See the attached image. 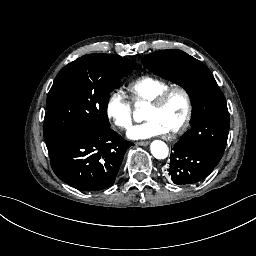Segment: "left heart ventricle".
<instances>
[{
    "label": "left heart ventricle",
    "instance_id": "obj_1",
    "mask_svg": "<svg viewBox=\"0 0 256 256\" xmlns=\"http://www.w3.org/2000/svg\"><path fill=\"white\" fill-rule=\"evenodd\" d=\"M183 110L184 104L182 98L177 93H173L162 109L156 111L150 110L149 114L161 115L170 123H172L174 119H176L178 116L182 114Z\"/></svg>",
    "mask_w": 256,
    "mask_h": 256
}]
</instances>
